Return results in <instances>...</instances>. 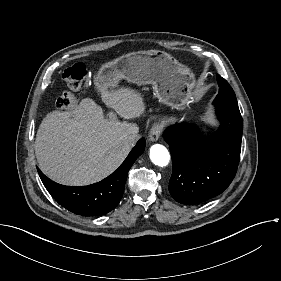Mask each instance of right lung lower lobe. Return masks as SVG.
I'll return each mask as SVG.
<instances>
[{"label":"right lung lower lobe","mask_w":281,"mask_h":281,"mask_svg":"<svg viewBox=\"0 0 281 281\" xmlns=\"http://www.w3.org/2000/svg\"><path fill=\"white\" fill-rule=\"evenodd\" d=\"M145 149L140 139L120 167L104 180L87 186H64L51 181L39 169L40 178L55 200L67 210L82 216H100L113 210L120 202L128 171Z\"/></svg>","instance_id":"obj_1"}]
</instances>
